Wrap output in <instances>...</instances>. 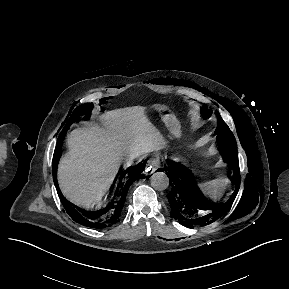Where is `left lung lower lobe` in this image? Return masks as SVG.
I'll list each match as a JSON object with an SVG mask.
<instances>
[{
  "label": "left lung lower lobe",
  "mask_w": 289,
  "mask_h": 289,
  "mask_svg": "<svg viewBox=\"0 0 289 289\" xmlns=\"http://www.w3.org/2000/svg\"><path fill=\"white\" fill-rule=\"evenodd\" d=\"M233 166L236 190L225 204H214L200 193L188 169L180 163L171 162L166 168L172 185V190L167 195L171 216L189 228L196 225L205 226L219 219L231 206L238 192L239 165Z\"/></svg>",
  "instance_id": "1"
}]
</instances>
